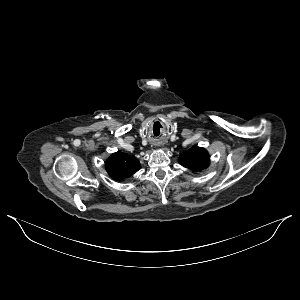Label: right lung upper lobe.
I'll use <instances>...</instances> for the list:
<instances>
[{"label":"right lung upper lobe","instance_id":"cb5924a9","mask_svg":"<svg viewBox=\"0 0 300 300\" xmlns=\"http://www.w3.org/2000/svg\"><path fill=\"white\" fill-rule=\"evenodd\" d=\"M140 169V163L133 157L122 152L112 154L106 161V170L115 180H123Z\"/></svg>","mask_w":300,"mask_h":300}]
</instances>
